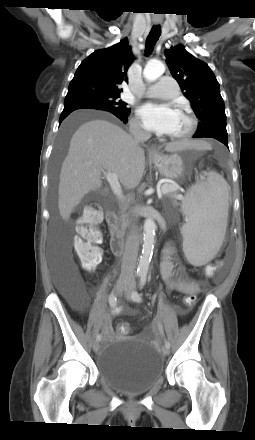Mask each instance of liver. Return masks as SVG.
<instances>
[{
  "mask_svg": "<svg viewBox=\"0 0 255 440\" xmlns=\"http://www.w3.org/2000/svg\"><path fill=\"white\" fill-rule=\"evenodd\" d=\"M201 141H175L166 152L203 149ZM145 169V154L135 139L121 127L103 119H91L73 134L65 157L58 188V208L67 221L82 198L101 187L103 171L115 173L126 189L140 183Z\"/></svg>",
  "mask_w": 255,
  "mask_h": 440,
  "instance_id": "liver-1",
  "label": "liver"
}]
</instances>
